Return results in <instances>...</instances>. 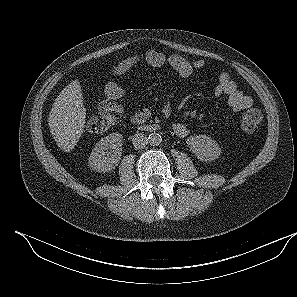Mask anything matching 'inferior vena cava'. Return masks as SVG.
Returning a JSON list of instances; mask_svg holds the SVG:
<instances>
[{"mask_svg": "<svg viewBox=\"0 0 297 297\" xmlns=\"http://www.w3.org/2000/svg\"><path fill=\"white\" fill-rule=\"evenodd\" d=\"M133 146L137 149H143L148 144V138L144 133H136L132 138Z\"/></svg>", "mask_w": 297, "mask_h": 297, "instance_id": "602c4592", "label": "inferior vena cava"}]
</instances>
